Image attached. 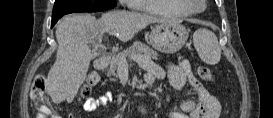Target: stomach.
I'll return each mask as SVG.
<instances>
[{
  "instance_id": "1",
  "label": "stomach",
  "mask_w": 273,
  "mask_h": 118,
  "mask_svg": "<svg viewBox=\"0 0 273 118\" xmlns=\"http://www.w3.org/2000/svg\"><path fill=\"white\" fill-rule=\"evenodd\" d=\"M189 33L179 22H161L151 29L150 44L160 52L172 54L180 50Z\"/></svg>"
}]
</instances>
